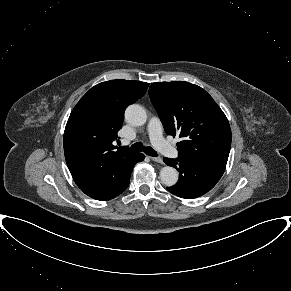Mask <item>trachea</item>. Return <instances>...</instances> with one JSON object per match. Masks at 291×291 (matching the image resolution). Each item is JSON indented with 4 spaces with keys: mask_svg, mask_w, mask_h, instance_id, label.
<instances>
[{
    "mask_svg": "<svg viewBox=\"0 0 291 291\" xmlns=\"http://www.w3.org/2000/svg\"><path fill=\"white\" fill-rule=\"evenodd\" d=\"M131 150L133 151H144L147 155L149 156H152V157H156L158 156L157 155V152L152 149L151 147L149 146H143V144L141 142H137V143H134L131 147H130Z\"/></svg>",
    "mask_w": 291,
    "mask_h": 291,
    "instance_id": "obj_1",
    "label": "trachea"
}]
</instances>
